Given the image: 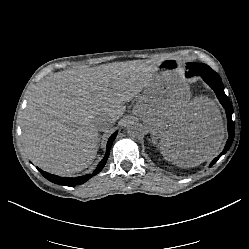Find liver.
<instances>
[{
  "label": "liver",
  "instance_id": "6515ba94",
  "mask_svg": "<svg viewBox=\"0 0 249 249\" xmlns=\"http://www.w3.org/2000/svg\"><path fill=\"white\" fill-rule=\"evenodd\" d=\"M158 67L106 64L64 70L45 78L30 93L22 120L23 144L30 160L55 174L91 166L97 153L102 114L113 122L129 103L148 90L132 108L160 144L170 147L168 161L196 166L220 149L225 129L219 109L201 97L172 100L166 82L155 84Z\"/></svg>",
  "mask_w": 249,
  "mask_h": 249
}]
</instances>
